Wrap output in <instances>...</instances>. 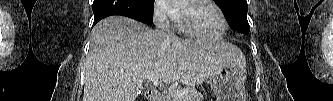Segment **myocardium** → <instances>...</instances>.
Wrapping results in <instances>:
<instances>
[{
  "label": "myocardium",
  "mask_w": 333,
  "mask_h": 101,
  "mask_svg": "<svg viewBox=\"0 0 333 101\" xmlns=\"http://www.w3.org/2000/svg\"><path fill=\"white\" fill-rule=\"evenodd\" d=\"M200 3H206L211 5L219 14L221 20H222V29L221 31L216 34V35H206L198 31L191 20L190 17V9L194 7L197 4ZM180 10H181V18H182V23L184 26V29L186 32H188L190 35L202 38V39H208V40H216L225 35L228 29V22L227 18L223 12V10L214 2L211 0H189V1H182L180 5Z\"/></svg>",
  "instance_id": "obj_1"
}]
</instances>
